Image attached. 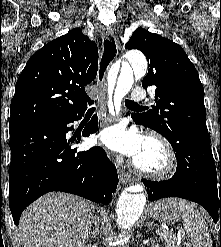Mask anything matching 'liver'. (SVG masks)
Listing matches in <instances>:
<instances>
[{"label": "liver", "instance_id": "1", "mask_svg": "<svg viewBox=\"0 0 221 247\" xmlns=\"http://www.w3.org/2000/svg\"><path fill=\"white\" fill-rule=\"evenodd\" d=\"M95 205L81 197L52 192L22 213L19 241L24 247H85Z\"/></svg>", "mask_w": 221, "mask_h": 247}]
</instances>
